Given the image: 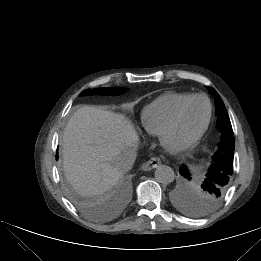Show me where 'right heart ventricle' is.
<instances>
[{
  "label": "right heart ventricle",
  "mask_w": 261,
  "mask_h": 261,
  "mask_svg": "<svg viewBox=\"0 0 261 261\" xmlns=\"http://www.w3.org/2000/svg\"><path fill=\"white\" fill-rule=\"evenodd\" d=\"M191 94L168 92L146 105L141 113V125L145 133L158 137L175 109Z\"/></svg>",
  "instance_id": "right-heart-ventricle-1"
}]
</instances>
